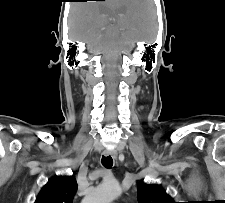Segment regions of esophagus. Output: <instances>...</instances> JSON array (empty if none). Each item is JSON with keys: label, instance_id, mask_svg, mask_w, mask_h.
I'll list each match as a JSON object with an SVG mask.
<instances>
[{"label": "esophagus", "instance_id": "esophagus-1", "mask_svg": "<svg viewBox=\"0 0 225 203\" xmlns=\"http://www.w3.org/2000/svg\"><path fill=\"white\" fill-rule=\"evenodd\" d=\"M103 154H104L105 156H111V157H113L114 159L117 158V152L114 151V150H104V151H103Z\"/></svg>", "mask_w": 225, "mask_h": 203}]
</instances>
